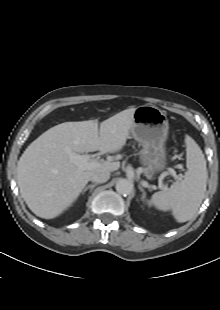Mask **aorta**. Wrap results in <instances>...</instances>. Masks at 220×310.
<instances>
[{"label": "aorta", "mask_w": 220, "mask_h": 310, "mask_svg": "<svg viewBox=\"0 0 220 310\" xmlns=\"http://www.w3.org/2000/svg\"><path fill=\"white\" fill-rule=\"evenodd\" d=\"M133 190V184L127 179H120L116 183V191L121 195H129Z\"/></svg>", "instance_id": "aorta-1"}]
</instances>
